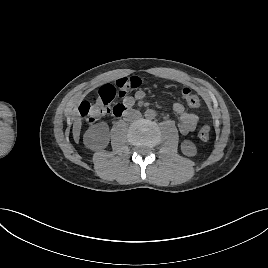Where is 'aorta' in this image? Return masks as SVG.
I'll list each match as a JSON object with an SVG mask.
<instances>
[{
	"instance_id": "762f6f07",
	"label": "aorta",
	"mask_w": 268,
	"mask_h": 268,
	"mask_svg": "<svg viewBox=\"0 0 268 268\" xmlns=\"http://www.w3.org/2000/svg\"><path fill=\"white\" fill-rule=\"evenodd\" d=\"M144 116L147 118V119H154L155 116H156V112L152 109H147L144 113Z\"/></svg>"
}]
</instances>
